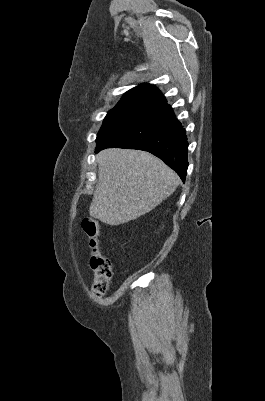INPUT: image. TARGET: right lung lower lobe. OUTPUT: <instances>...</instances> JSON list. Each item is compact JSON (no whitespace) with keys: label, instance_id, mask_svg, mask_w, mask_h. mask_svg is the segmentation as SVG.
I'll return each instance as SVG.
<instances>
[{"label":"right lung lower lobe","instance_id":"obj_1","mask_svg":"<svg viewBox=\"0 0 265 401\" xmlns=\"http://www.w3.org/2000/svg\"><path fill=\"white\" fill-rule=\"evenodd\" d=\"M108 147L148 151L163 160L185 182L188 141L185 129L170 105L98 144L96 152Z\"/></svg>","mask_w":265,"mask_h":401}]
</instances>
